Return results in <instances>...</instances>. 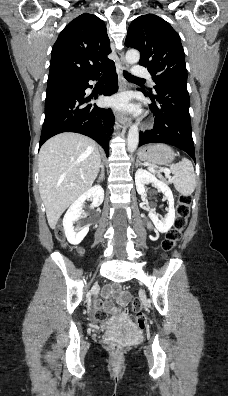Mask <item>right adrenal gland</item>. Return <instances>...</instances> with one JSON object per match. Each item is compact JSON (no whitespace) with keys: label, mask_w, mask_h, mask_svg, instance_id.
Segmentation results:
<instances>
[{"label":"right adrenal gland","mask_w":228,"mask_h":396,"mask_svg":"<svg viewBox=\"0 0 228 396\" xmlns=\"http://www.w3.org/2000/svg\"><path fill=\"white\" fill-rule=\"evenodd\" d=\"M104 177H105V168H104V166L102 165V166H101V174H100V176H99V178H98V182L103 181V180H104Z\"/></svg>","instance_id":"2a0ac1e0"}]
</instances>
